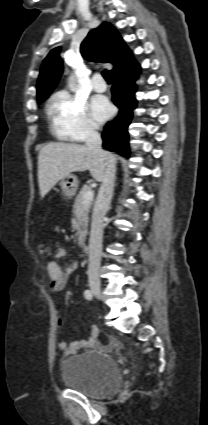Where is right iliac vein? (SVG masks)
<instances>
[{"label": "right iliac vein", "mask_w": 208, "mask_h": 425, "mask_svg": "<svg viewBox=\"0 0 208 425\" xmlns=\"http://www.w3.org/2000/svg\"><path fill=\"white\" fill-rule=\"evenodd\" d=\"M90 288H91V291L93 292V294L97 298H100L101 297V287H100V284L99 283L91 282L90 283Z\"/></svg>", "instance_id": "obj_1"}]
</instances>
